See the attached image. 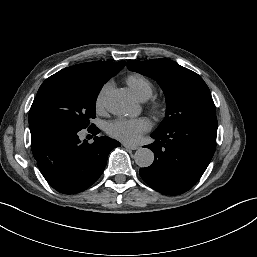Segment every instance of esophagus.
I'll list each match as a JSON object with an SVG mask.
<instances>
[{
    "label": "esophagus",
    "instance_id": "obj_1",
    "mask_svg": "<svg viewBox=\"0 0 257 257\" xmlns=\"http://www.w3.org/2000/svg\"><path fill=\"white\" fill-rule=\"evenodd\" d=\"M123 146L126 149H130V150H137L139 148V146H137V145H130V144H123Z\"/></svg>",
    "mask_w": 257,
    "mask_h": 257
}]
</instances>
